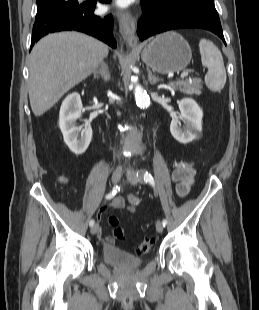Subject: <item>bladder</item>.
<instances>
[{"instance_id":"31cf9c89","label":"bladder","mask_w":259,"mask_h":310,"mask_svg":"<svg viewBox=\"0 0 259 310\" xmlns=\"http://www.w3.org/2000/svg\"><path fill=\"white\" fill-rule=\"evenodd\" d=\"M101 257L106 264L119 269H134L143 264V259L117 246H105Z\"/></svg>"}]
</instances>
